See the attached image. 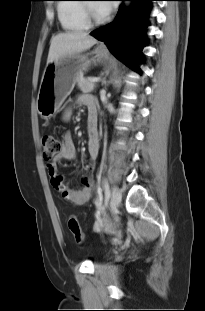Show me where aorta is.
I'll use <instances>...</instances> for the list:
<instances>
[{"instance_id": "1", "label": "aorta", "mask_w": 205, "mask_h": 311, "mask_svg": "<svg viewBox=\"0 0 205 311\" xmlns=\"http://www.w3.org/2000/svg\"><path fill=\"white\" fill-rule=\"evenodd\" d=\"M130 2H126V5H129Z\"/></svg>"}]
</instances>
